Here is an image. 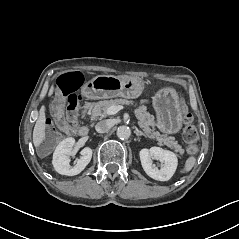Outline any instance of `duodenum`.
<instances>
[{
	"label": "duodenum",
	"instance_id": "1",
	"mask_svg": "<svg viewBox=\"0 0 239 239\" xmlns=\"http://www.w3.org/2000/svg\"><path fill=\"white\" fill-rule=\"evenodd\" d=\"M89 133V128L87 125H82L80 126L79 130H78V134L82 137L87 136Z\"/></svg>",
	"mask_w": 239,
	"mask_h": 239
}]
</instances>
